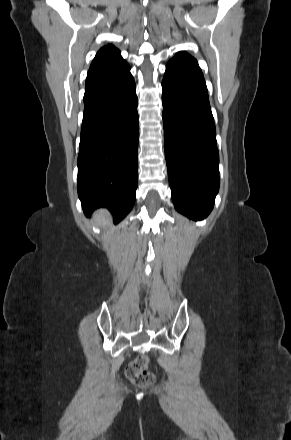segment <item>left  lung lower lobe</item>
Masks as SVG:
<instances>
[{"label":"left lung lower lobe","mask_w":291,"mask_h":440,"mask_svg":"<svg viewBox=\"0 0 291 440\" xmlns=\"http://www.w3.org/2000/svg\"><path fill=\"white\" fill-rule=\"evenodd\" d=\"M165 156L172 200L193 220L211 212L219 189V154L208 91L197 61L178 52L162 81Z\"/></svg>","instance_id":"left-lung-lower-lobe-1"}]
</instances>
